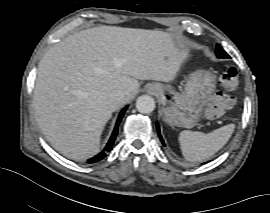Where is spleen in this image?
Wrapping results in <instances>:
<instances>
[{"mask_svg":"<svg viewBox=\"0 0 270 213\" xmlns=\"http://www.w3.org/2000/svg\"><path fill=\"white\" fill-rule=\"evenodd\" d=\"M234 129V124H228L207 134L182 131L179 135V143L184 158L190 162L210 158L228 142Z\"/></svg>","mask_w":270,"mask_h":213,"instance_id":"1","label":"spleen"}]
</instances>
